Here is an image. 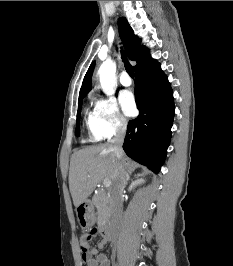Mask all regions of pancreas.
<instances>
[{
    "instance_id": "pancreas-1",
    "label": "pancreas",
    "mask_w": 233,
    "mask_h": 266,
    "mask_svg": "<svg viewBox=\"0 0 233 266\" xmlns=\"http://www.w3.org/2000/svg\"><path fill=\"white\" fill-rule=\"evenodd\" d=\"M93 203L98 210V223H101L109 216L111 208L110 196L107 192L101 190L97 195H94Z\"/></svg>"
}]
</instances>
